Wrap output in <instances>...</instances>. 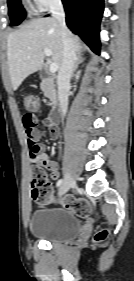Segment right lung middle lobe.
<instances>
[{"mask_svg":"<svg viewBox=\"0 0 134 281\" xmlns=\"http://www.w3.org/2000/svg\"><path fill=\"white\" fill-rule=\"evenodd\" d=\"M11 26L19 25L25 19V11L20 0H7Z\"/></svg>","mask_w":134,"mask_h":281,"instance_id":"dd1d6c3e","label":"right lung middle lobe"}]
</instances>
